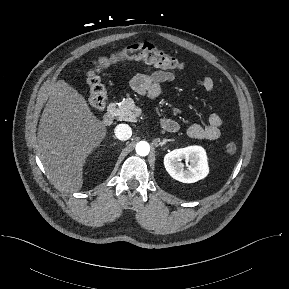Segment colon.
<instances>
[{
    "mask_svg": "<svg viewBox=\"0 0 289 289\" xmlns=\"http://www.w3.org/2000/svg\"><path fill=\"white\" fill-rule=\"evenodd\" d=\"M132 60H143L165 70H180L183 67L180 60L150 42L132 43L107 56L100 57L84 73L89 89L88 103L92 108L102 110L107 102V92L99 74L116 63ZM225 150L228 154H234L237 150L236 143L228 142Z\"/></svg>",
    "mask_w": 289,
    "mask_h": 289,
    "instance_id": "colon-1",
    "label": "colon"
}]
</instances>
